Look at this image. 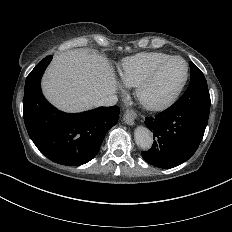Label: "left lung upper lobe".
Segmentation results:
<instances>
[{"instance_id": "left-lung-upper-lobe-1", "label": "left lung upper lobe", "mask_w": 232, "mask_h": 232, "mask_svg": "<svg viewBox=\"0 0 232 232\" xmlns=\"http://www.w3.org/2000/svg\"><path fill=\"white\" fill-rule=\"evenodd\" d=\"M191 78L185 93L172 106L189 108L205 116H209L210 95L206 79L201 70L190 62Z\"/></svg>"}]
</instances>
